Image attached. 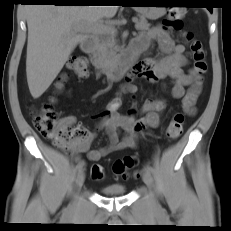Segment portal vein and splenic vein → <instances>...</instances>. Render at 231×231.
Wrapping results in <instances>:
<instances>
[{
  "instance_id": "portal-vein-and-splenic-vein-1",
  "label": "portal vein and splenic vein",
  "mask_w": 231,
  "mask_h": 231,
  "mask_svg": "<svg viewBox=\"0 0 231 231\" xmlns=\"http://www.w3.org/2000/svg\"><path fill=\"white\" fill-rule=\"evenodd\" d=\"M133 22H137V19L134 18ZM93 31H95L98 34H115L116 29L112 25H104V24H98L93 28Z\"/></svg>"
}]
</instances>
